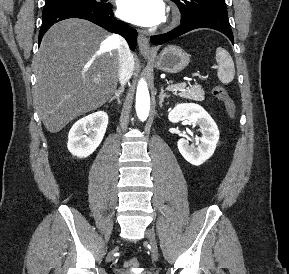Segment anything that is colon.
<instances>
[{
  "label": "colon",
  "mask_w": 289,
  "mask_h": 274,
  "mask_svg": "<svg viewBox=\"0 0 289 274\" xmlns=\"http://www.w3.org/2000/svg\"><path fill=\"white\" fill-rule=\"evenodd\" d=\"M213 95L220 101L225 107V110L230 118H234L236 114V106L232 98L222 86H215L213 88ZM125 266L131 271H137L140 268V262L137 258H130L126 261Z\"/></svg>",
  "instance_id": "obj_1"
}]
</instances>
